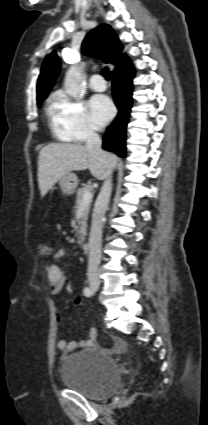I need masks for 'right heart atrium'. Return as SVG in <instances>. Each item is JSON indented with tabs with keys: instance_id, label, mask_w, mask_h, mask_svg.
Listing matches in <instances>:
<instances>
[{
	"instance_id": "1",
	"label": "right heart atrium",
	"mask_w": 208,
	"mask_h": 425,
	"mask_svg": "<svg viewBox=\"0 0 208 425\" xmlns=\"http://www.w3.org/2000/svg\"><path fill=\"white\" fill-rule=\"evenodd\" d=\"M55 127L69 139L85 142L96 136L83 102L72 99L63 91L55 94L52 103Z\"/></svg>"
}]
</instances>
